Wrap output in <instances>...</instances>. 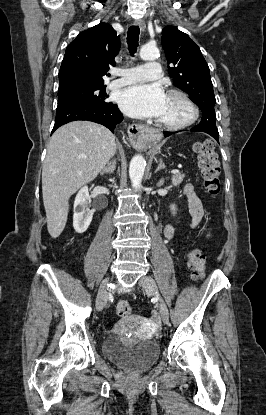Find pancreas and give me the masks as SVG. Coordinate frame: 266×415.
Wrapping results in <instances>:
<instances>
[{
  "mask_svg": "<svg viewBox=\"0 0 266 415\" xmlns=\"http://www.w3.org/2000/svg\"><path fill=\"white\" fill-rule=\"evenodd\" d=\"M184 178H185L184 174H181V173L174 174L172 176V184L179 185L183 181Z\"/></svg>",
  "mask_w": 266,
  "mask_h": 415,
  "instance_id": "obj_1",
  "label": "pancreas"
}]
</instances>
